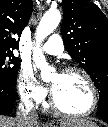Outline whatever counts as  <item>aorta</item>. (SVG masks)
Returning <instances> with one entry per match:
<instances>
[{"mask_svg": "<svg viewBox=\"0 0 108 127\" xmlns=\"http://www.w3.org/2000/svg\"><path fill=\"white\" fill-rule=\"evenodd\" d=\"M61 14L58 10H48L42 17L36 30V46L33 49V61L41 71V78L48 80L51 77L52 68L48 66L44 54L40 50V43L51 34L59 25Z\"/></svg>", "mask_w": 108, "mask_h": 127, "instance_id": "1", "label": "aorta"}]
</instances>
